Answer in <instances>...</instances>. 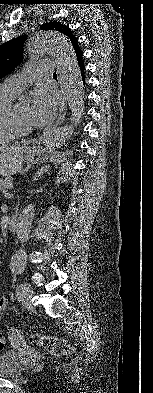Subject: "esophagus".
I'll list each match as a JSON object with an SVG mask.
<instances>
[{"label":"esophagus","mask_w":153,"mask_h":393,"mask_svg":"<svg viewBox=\"0 0 153 393\" xmlns=\"http://www.w3.org/2000/svg\"><path fill=\"white\" fill-rule=\"evenodd\" d=\"M66 110H67L66 109V101L63 99L60 104L58 118H57L56 122L54 123L53 127H56L63 122L65 115H66Z\"/></svg>","instance_id":"34e87169"}]
</instances>
